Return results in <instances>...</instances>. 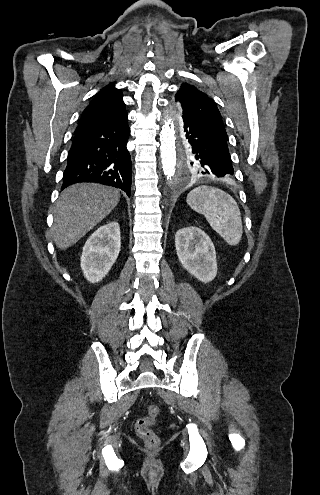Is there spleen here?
<instances>
[{
	"label": "spleen",
	"mask_w": 320,
	"mask_h": 495,
	"mask_svg": "<svg viewBox=\"0 0 320 495\" xmlns=\"http://www.w3.org/2000/svg\"><path fill=\"white\" fill-rule=\"evenodd\" d=\"M187 204L203 214L230 246L237 245L243 234L242 219L237 202L225 191L209 186H199L187 195Z\"/></svg>",
	"instance_id": "spleen-1"
}]
</instances>
